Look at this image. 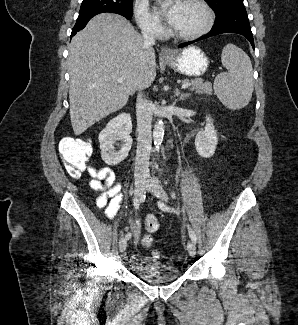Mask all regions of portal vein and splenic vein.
Segmentation results:
<instances>
[{
    "mask_svg": "<svg viewBox=\"0 0 298 325\" xmlns=\"http://www.w3.org/2000/svg\"><path fill=\"white\" fill-rule=\"evenodd\" d=\"M124 78L121 76V78H117V82H123ZM195 80H192V82H184V84H181V88H188V86H191V84H194Z\"/></svg>",
    "mask_w": 298,
    "mask_h": 325,
    "instance_id": "portal-vein-and-splenic-vein-1",
    "label": "portal vein and splenic vein"
}]
</instances>
